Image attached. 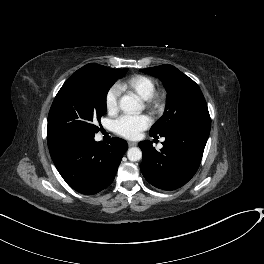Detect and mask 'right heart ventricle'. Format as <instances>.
Masks as SVG:
<instances>
[{"label": "right heart ventricle", "instance_id": "e07e8e85", "mask_svg": "<svg viewBox=\"0 0 264 264\" xmlns=\"http://www.w3.org/2000/svg\"><path fill=\"white\" fill-rule=\"evenodd\" d=\"M120 88L132 91L143 100H148L155 92L156 85L152 78L145 75H134L120 82Z\"/></svg>", "mask_w": 264, "mask_h": 264}]
</instances>
